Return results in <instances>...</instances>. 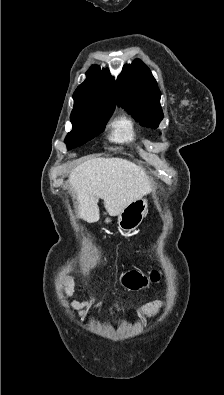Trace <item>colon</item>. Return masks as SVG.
Returning a JSON list of instances; mask_svg holds the SVG:
<instances>
[{"instance_id":"5ec220e1","label":"colon","mask_w":224,"mask_h":395,"mask_svg":"<svg viewBox=\"0 0 224 395\" xmlns=\"http://www.w3.org/2000/svg\"><path fill=\"white\" fill-rule=\"evenodd\" d=\"M160 278V273L157 270H154L151 272L149 278L143 276L142 274L131 271L126 274V280H127V287L132 289V290H138L142 287H144L148 281L151 282H157Z\"/></svg>"}]
</instances>
